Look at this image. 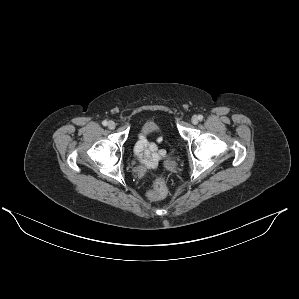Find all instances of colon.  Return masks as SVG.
Returning <instances> with one entry per match:
<instances>
[{"instance_id": "obj_1", "label": "colon", "mask_w": 299, "mask_h": 299, "mask_svg": "<svg viewBox=\"0 0 299 299\" xmlns=\"http://www.w3.org/2000/svg\"><path fill=\"white\" fill-rule=\"evenodd\" d=\"M167 194V185L166 181L162 177H157L152 185V188L147 193V197L150 200H159L166 196Z\"/></svg>"}]
</instances>
